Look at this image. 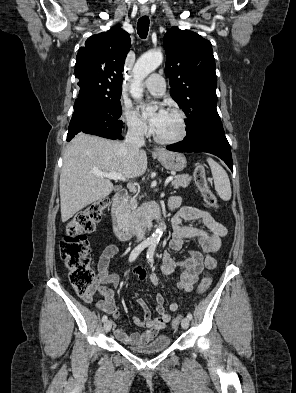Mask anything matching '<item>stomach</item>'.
Listing matches in <instances>:
<instances>
[{"label":"stomach","instance_id":"0dacf381","mask_svg":"<svg viewBox=\"0 0 296 393\" xmlns=\"http://www.w3.org/2000/svg\"><path fill=\"white\" fill-rule=\"evenodd\" d=\"M157 158L161 165L169 171L180 172L187 164L185 156L181 153L163 150L157 154Z\"/></svg>","mask_w":296,"mask_h":393}]
</instances>
